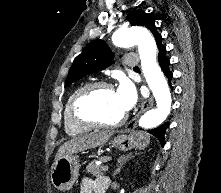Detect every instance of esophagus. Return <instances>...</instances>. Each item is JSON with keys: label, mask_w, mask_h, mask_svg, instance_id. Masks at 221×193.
Listing matches in <instances>:
<instances>
[{"label": "esophagus", "mask_w": 221, "mask_h": 193, "mask_svg": "<svg viewBox=\"0 0 221 193\" xmlns=\"http://www.w3.org/2000/svg\"><path fill=\"white\" fill-rule=\"evenodd\" d=\"M153 97L150 96L147 100H145L141 106V109L139 110V112L135 115V117L132 119V121L130 122V124L127 125V128H132L135 127V125L137 124V121L139 119V117L146 111L148 110L152 105H153Z\"/></svg>", "instance_id": "obj_1"}]
</instances>
